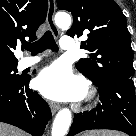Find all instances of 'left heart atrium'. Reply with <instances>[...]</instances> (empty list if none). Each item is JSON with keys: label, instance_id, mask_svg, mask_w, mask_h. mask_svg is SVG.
I'll return each instance as SVG.
<instances>
[{"label": "left heart atrium", "instance_id": "1", "mask_svg": "<svg viewBox=\"0 0 136 136\" xmlns=\"http://www.w3.org/2000/svg\"><path fill=\"white\" fill-rule=\"evenodd\" d=\"M36 88L53 100H77L84 96V81L74 76L63 64H53L45 68L36 78Z\"/></svg>", "mask_w": 136, "mask_h": 136}]
</instances>
